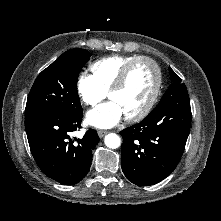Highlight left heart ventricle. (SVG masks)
Listing matches in <instances>:
<instances>
[{
	"label": "left heart ventricle",
	"instance_id": "obj_1",
	"mask_svg": "<svg viewBox=\"0 0 221 221\" xmlns=\"http://www.w3.org/2000/svg\"><path fill=\"white\" fill-rule=\"evenodd\" d=\"M156 81V73L151 64L138 62L130 71L122 89L113 92L109 99L116 102L124 116L138 113L149 100Z\"/></svg>",
	"mask_w": 221,
	"mask_h": 221
}]
</instances>
